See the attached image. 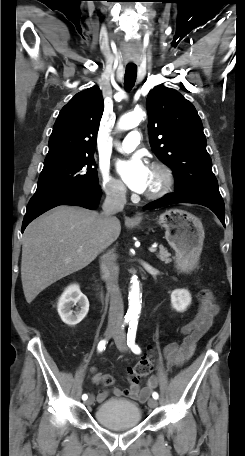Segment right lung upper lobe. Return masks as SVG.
Returning a JSON list of instances; mask_svg holds the SVG:
<instances>
[{
	"instance_id": "cb5924a9",
	"label": "right lung upper lobe",
	"mask_w": 245,
	"mask_h": 456,
	"mask_svg": "<svg viewBox=\"0 0 245 456\" xmlns=\"http://www.w3.org/2000/svg\"><path fill=\"white\" fill-rule=\"evenodd\" d=\"M103 110L102 92L98 86L77 93L58 115L44 165L93 155Z\"/></svg>"
}]
</instances>
